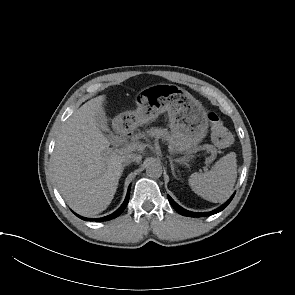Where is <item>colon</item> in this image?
Returning a JSON list of instances; mask_svg holds the SVG:
<instances>
[{"mask_svg": "<svg viewBox=\"0 0 295 295\" xmlns=\"http://www.w3.org/2000/svg\"><path fill=\"white\" fill-rule=\"evenodd\" d=\"M208 121L211 129L212 141L214 144L221 148L230 146L233 141L232 134L224 126L218 114L214 112L209 113Z\"/></svg>", "mask_w": 295, "mask_h": 295, "instance_id": "colon-1", "label": "colon"}]
</instances>
